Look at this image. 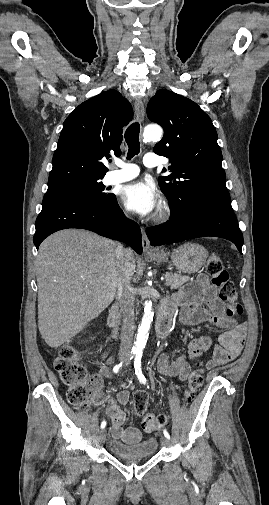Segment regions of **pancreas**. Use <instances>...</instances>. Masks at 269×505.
Returning a JSON list of instances; mask_svg holds the SVG:
<instances>
[{
  "mask_svg": "<svg viewBox=\"0 0 269 505\" xmlns=\"http://www.w3.org/2000/svg\"><path fill=\"white\" fill-rule=\"evenodd\" d=\"M165 279L167 285L170 286L171 289H178L189 280V277L180 274L166 273Z\"/></svg>",
  "mask_w": 269,
  "mask_h": 505,
  "instance_id": "1",
  "label": "pancreas"
}]
</instances>
